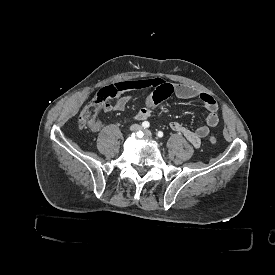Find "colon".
<instances>
[{
    "instance_id": "1",
    "label": "colon",
    "mask_w": 275,
    "mask_h": 275,
    "mask_svg": "<svg viewBox=\"0 0 275 275\" xmlns=\"http://www.w3.org/2000/svg\"><path fill=\"white\" fill-rule=\"evenodd\" d=\"M105 112L104 103L100 100L95 101L93 104L89 105L87 109H85L80 116V125L81 127H85L90 122H96L97 119ZM217 137L210 136L209 143L216 144Z\"/></svg>"
}]
</instances>
